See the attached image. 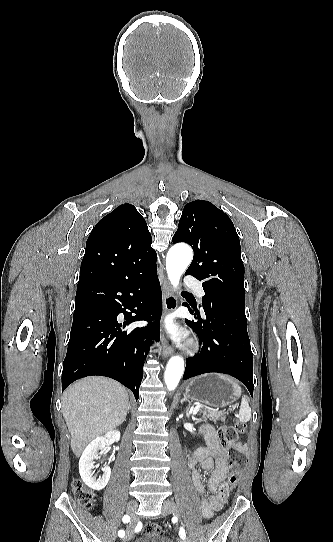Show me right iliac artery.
I'll return each instance as SVG.
<instances>
[{
    "label": "right iliac artery",
    "mask_w": 333,
    "mask_h": 542,
    "mask_svg": "<svg viewBox=\"0 0 333 542\" xmlns=\"http://www.w3.org/2000/svg\"><path fill=\"white\" fill-rule=\"evenodd\" d=\"M122 520H123L124 523H128L130 521V517L128 515H125ZM118 535H119V537H124L125 532L123 530H120L118 532Z\"/></svg>",
    "instance_id": "1"
}]
</instances>
